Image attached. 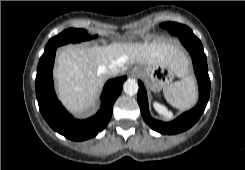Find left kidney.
<instances>
[{"instance_id":"left-kidney-1","label":"left kidney","mask_w":245,"mask_h":170,"mask_svg":"<svg viewBox=\"0 0 245 170\" xmlns=\"http://www.w3.org/2000/svg\"><path fill=\"white\" fill-rule=\"evenodd\" d=\"M154 108L158 113H160L164 116H167V117L171 116V114L167 111V109L158 103H154Z\"/></svg>"}]
</instances>
